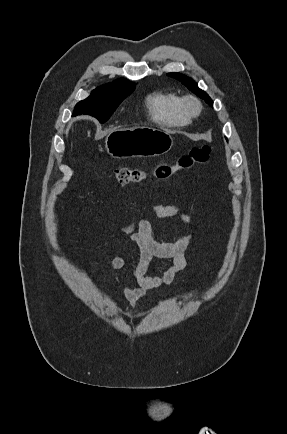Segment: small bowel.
<instances>
[{
  "label": "small bowel",
  "mask_w": 287,
  "mask_h": 434,
  "mask_svg": "<svg viewBox=\"0 0 287 434\" xmlns=\"http://www.w3.org/2000/svg\"><path fill=\"white\" fill-rule=\"evenodd\" d=\"M148 206L158 218L181 220L189 231L176 242L160 243L152 236L151 225L147 220H136L117 227L105 237L104 244L117 233L128 235L130 242L139 250V260L131 267L134 284L127 282L123 286L124 295L131 306L142 299L148 290L174 283L178 274L185 269L186 255L196 241L191 215L184 208L176 204H162L155 200H149ZM152 258L170 259L171 265L161 276H148L146 271ZM105 259L111 271L120 270L128 265V258L125 255L106 256ZM115 279L119 282L117 276Z\"/></svg>",
  "instance_id": "obj_1"
}]
</instances>
